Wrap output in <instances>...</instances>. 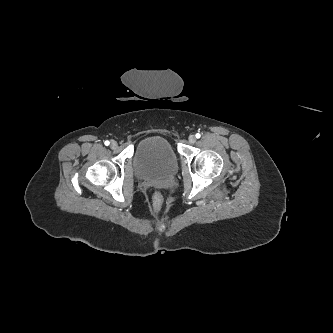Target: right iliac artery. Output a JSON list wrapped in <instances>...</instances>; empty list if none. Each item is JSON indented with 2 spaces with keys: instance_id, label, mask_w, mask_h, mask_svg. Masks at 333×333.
<instances>
[{
  "instance_id": "82829eb1",
  "label": "right iliac artery",
  "mask_w": 333,
  "mask_h": 333,
  "mask_svg": "<svg viewBox=\"0 0 333 333\" xmlns=\"http://www.w3.org/2000/svg\"><path fill=\"white\" fill-rule=\"evenodd\" d=\"M104 144H105L106 146H108V145L110 144V142H109L108 140H106V141L104 142Z\"/></svg>"
}]
</instances>
